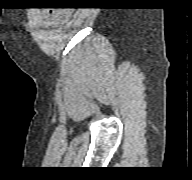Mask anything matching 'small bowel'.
Returning <instances> with one entry per match:
<instances>
[{"instance_id": "1", "label": "small bowel", "mask_w": 192, "mask_h": 180, "mask_svg": "<svg viewBox=\"0 0 192 180\" xmlns=\"http://www.w3.org/2000/svg\"><path fill=\"white\" fill-rule=\"evenodd\" d=\"M58 16L57 13L55 12H48V11H43L40 14V18L46 23V24H52L55 22L56 17Z\"/></svg>"}]
</instances>
